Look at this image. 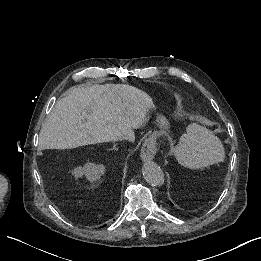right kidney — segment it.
Returning <instances> with one entry per match:
<instances>
[{"label": "right kidney", "instance_id": "right-kidney-1", "mask_svg": "<svg viewBox=\"0 0 261 261\" xmlns=\"http://www.w3.org/2000/svg\"><path fill=\"white\" fill-rule=\"evenodd\" d=\"M104 173V167L96 164H88L85 168H76L73 171L75 177H81L84 174L89 181H96Z\"/></svg>", "mask_w": 261, "mask_h": 261}]
</instances>
